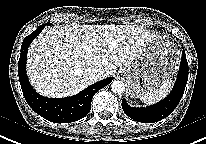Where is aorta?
<instances>
[{
	"label": "aorta",
	"instance_id": "obj_1",
	"mask_svg": "<svg viewBox=\"0 0 206 144\" xmlns=\"http://www.w3.org/2000/svg\"><path fill=\"white\" fill-rule=\"evenodd\" d=\"M111 90L115 94H122L125 91V84L122 81L115 80L111 83Z\"/></svg>",
	"mask_w": 206,
	"mask_h": 144
}]
</instances>
